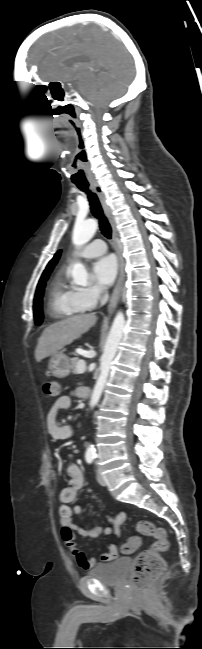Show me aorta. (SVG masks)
<instances>
[{"mask_svg": "<svg viewBox=\"0 0 202 649\" xmlns=\"http://www.w3.org/2000/svg\"><path fill=\"white\" fill-rule=\"evenodd\" d=\"M96 230L97 222L94 219H87L84 221L76 222L72 234L73 243L76 246H81L88 243L94 236ZM71 276L74 283L76 284H87L89 280L88 272L85 266L80 262H76L73 265ZM124 325V314L122 311H119L113 320L109 335L104 345L103 354L100 358V374L91 395L89 404L91 408H94L97 405L102 395L103 389L109 376L111 363L116 355L117 349L123 336ZM87 453H94L93 445H89L87 447Z\"/></svg>", "mask_w": 202, "mask_h": 649, "instance_id": "1", "label": "aorta"}]
</instances>
